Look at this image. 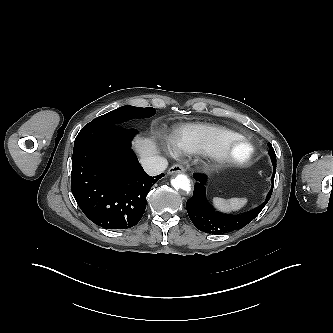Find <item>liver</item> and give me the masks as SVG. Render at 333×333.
<instances>
[{"instance_id": "6515ba94", "label": "liver", "mask_w": 333, "mask_h": 333, "mask_svg": "<svg viewBox=\"0 0 333 333\" xmlns=\"http://www.w3.org/2000/svg\"><path fill=\"white\" fill-rule=\"evenodd\" d=\"M134 149L140 157L154 156L158 153L155 141L151 138H136Z\"/></svg>"}]
</instances>
